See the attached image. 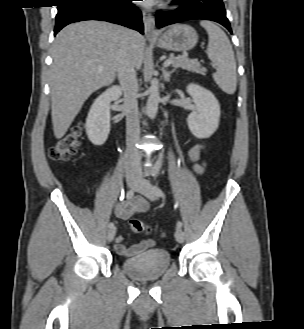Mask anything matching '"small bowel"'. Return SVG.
<instances>
[{
  "label": "small bowel",
  "mask_w": 304,
  "mask_h": 329,
  "mask_svg": "<svg viewBox=\"0 0 304 329\" xmlns=\"http://www.w3.org/2000/svg\"><path fill=\"white\" fill-rule=\"evenodd\" d=\"M205 147L202 144H193L189 149L188 158L193 163V168L197 173H201L204 170V163L200 162L202 153ZM150 204L147 199L141 196L132 197L126 201H120L115 208L116 215L121 219H129L136 214H141L148 211ZM155 242L152 239L142 240L137 244L126 246L123 244V236L117 235L115 239V250L118 254L130 257L154 247Z\"/></svg>",
  "instance_id": "small-bowel-1"
}]
</instances>
